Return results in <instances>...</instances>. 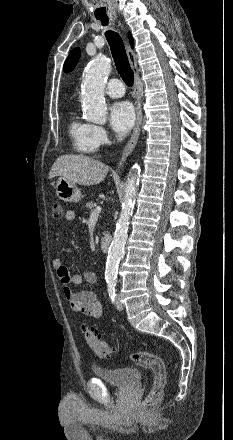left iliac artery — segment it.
I'll use <instances>...</instances> for the list:
<instances>
[{
    "mask_svg": "<svg viewBox=\"0 0 233 440\" xmlns=\"http://www.w3.org/2000/svg\"><path fill=\"white\" fill-rule=\"evenodd\" d=\"M107 283H108V294H109L110 299L113 302L114 298L116 296V293H115L116 281L110 280Z\"/></svg>",
    "mask_w": 233,
    "mask_h": 440,
    "instance_id": "1",
    "label": "left iliac artery"
}]
</instances>
